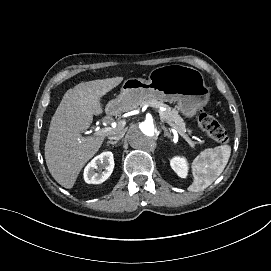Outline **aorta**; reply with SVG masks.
<instances>
[{
	"label": "aorta",
	"instance_id": "obj_1",
	"mask_svg": "<svg viewBox=\"0 0 271 271\" xmlns=\"http://www.w3.org/2000/svg\"><path fill=\"white\" fill-rule=\"evenodd\" d=\"M127 139L130 146L140 152L153 150L157 139V126L151 119L133 123L128 132Z\"/></svg>",
	"mask_w": 271,
	"mask_h": 271
}]
</instances>
